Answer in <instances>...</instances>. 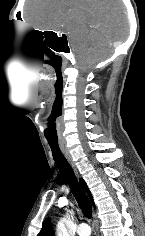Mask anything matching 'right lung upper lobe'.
Returning a JSON list of instances; mask_svg holds the SVG:
<instances>
[{
    "label": "right lung upper lobe",
    "instance_id": "obj_1",
    "mask_svg": "<svg viewBox=\"0 0 145 236\" xmlns=\"http://www.w3.org/2000/svg\"><path fill=\"white\" fill-rule=\"evenodd\" d=\"M80 183L83 186V188L86 190V192L89 195L91 201L93 202L92 195H91V193H90V191L88 189V186L85 183V181L83 179H80ZM38 236H54V232H53V229H52L51 222H50L49 218H47L43 222L42 229H41L40 233L38 234Z\"/></svg>",
    "mask_w": 145,
    "mask_h": 236
}]
</instances>
